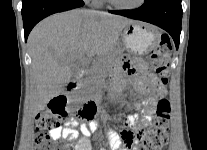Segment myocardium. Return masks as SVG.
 <instances>
[{
	"label": "myocardium",
	"instance_id": "myocardium-1",
	"mask_svg": "<svg viewBox=\"0 0 207 150\" xmlns=\"http://www.w3.org/2000/svg\"><path fill=\"white\" fill-rule=\"evenodd\" d=\"M106 1L113 7L120 9V10H136V9L141 8L146 3V0H139V2L135 5L125 6V5H121L117 3L115 0H106Z\"/></svg>",
	"mask_w": 207,
	"mask_h": 150
}]
</instances>
